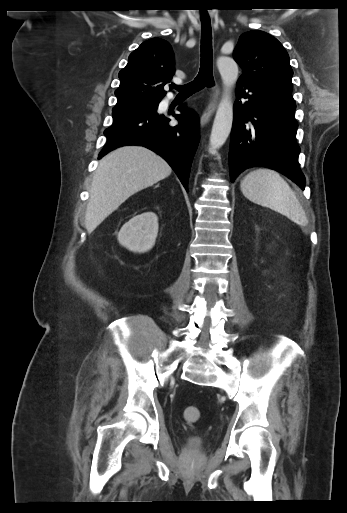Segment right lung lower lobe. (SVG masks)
<instances>
[{
  "mask_svg": "<svg viewBox=\"0 0 347 513\" xmlns=\"http://www.w3.org/2000/svg\"><path fill=\"white\" fill-rule=\"evenodd\" d=\"M158 108V107H157ZM157 108L113 116V124L104 134L107 143L98 159L125 145H140L164 158L187 190L192 160L199 143V120L195 112L182 106L174 116L177 126H169V118L157 113Z\"/></svg>",
  "mask_w": 347,
  "mask_h": 513,
  "instance_id": "1",
  "label": "right lung lower lobe"
}]
</instances>
